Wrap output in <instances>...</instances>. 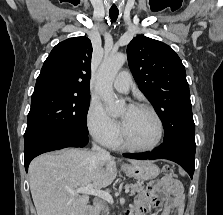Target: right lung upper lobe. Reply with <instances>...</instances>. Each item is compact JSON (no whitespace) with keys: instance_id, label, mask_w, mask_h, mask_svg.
I'll list each match as a JSON object with an SVG mask.
<instances>
[{"instance_id":"obj_1","label":"right lung upper lobe","mask_w":223,"mask_h":215,"mask_svg":"<svg viewBox=\"0 0 223 215\" xmlns=\"http://www.w3.org/2000/svg\"><path fill=\"white\" fill-rule=\"evenodd\" d=\"M92 45L87 37L57 44L45 60L33 94L60 93L90 97Z\"/></svg>"}]
</instances>
